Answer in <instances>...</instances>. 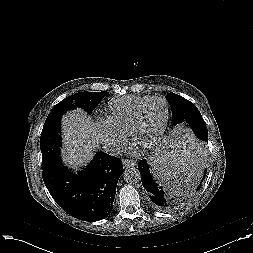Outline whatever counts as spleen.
Returning <instances> with one entry per match:
<instances>
[{
  "label": "spleen",
  "instance_id": "spleen-1",
  "mask_svg": "<svg viewBox=\"0 0 253 253\" xmlns=\"http://www.w3.org/2000/svg\"><path fill=\"white\" fill-rule=\"evenodd\" d=\"M206 167V157L195 133L185 126L170 129L150 156L149 170L165 195L181 197L190 193Z\"/></svg>",
  "mask_w": 253,
  "mask_h": 253
}]
</instances>
